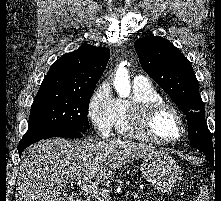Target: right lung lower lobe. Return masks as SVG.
I'll use <instances>...</instances> for the list:
<instances>
[{
    "label": "right lung lower lobe",
    "instance_id": "obj_1",
    "mask_svg": "<svg viewBox=\"0 0 221 201\" xmlns=\"http://www.w3.org/2000/svg\"><path fill=\"white\" fill-rule=\"evenodd\" d=\"M83 135L81 132L70 129H44L34 133H26L20 144L18 145V153L21 156L22 151L27 148L29 145L50 137H66V138H80Z\"/></svg>",
    "mask_w": 221,
    "mask_h": 201
}]
</instances>
